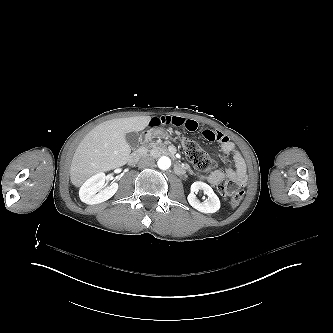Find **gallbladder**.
Returning a JSON list of instances; mask_svg holds the SVG:
<instances>
[{"instance_id": "bac80fb5", "label": "gallbladder", "mask_w": 333, "mask_h": 333, "mask_svg": "<svg viewBox=\"0 0 333 333\" xmlns=\"http://www.w3.org/2000/svg\"><path fill=\"white\" fill-rule=\"evenodd\" d=\"M125 138H126L127 143L129 144V146L131 147V149H136L139 146V142L141 139V136L139 133H137V132L127 133Z\"/></svg>"}]
</instances>
